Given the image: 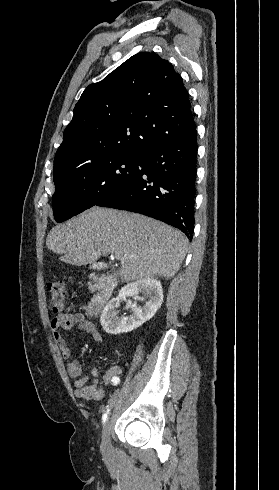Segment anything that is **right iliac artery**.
<instances>
[{
  "label": "right iliac artery",
  "mask_w": 279,
  "mask_h": 490,
  "mask_svg": "<svg viewBox=\"0 0 279 490\" xmlns=\"http://www.w3.org/2000/svg\"><path fill=\"white\" fill-rule=\"evenodd\" d=\"M111 381L113 382V383H112V386H113L114 388H117V387L119 386V383H118L119 378H118V377L113 376V377L111 378ZM107 412H109V410H107ZM106 419H107V413L103 415V422H105V421H106Z\"/></svg>",
  "instance_id": "1"
}]
</instances>
